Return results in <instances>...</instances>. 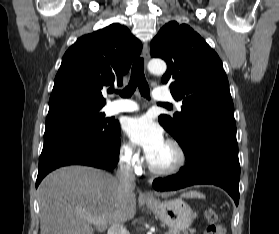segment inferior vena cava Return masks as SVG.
Masks as SVG:
<instances>
[{
  "instance_id": "602c4592",
  "label": "inferior vena cava",
  "mask_w": 279,
  "mask_h": 234,
  "mask_svg": "<svg viewBox=\"0 0 279 234\" xmlns=\"http://www.w3.org/2000/svg\"><path fill=\"white\" fill-rule=\"evenodd\" d=\"M117 179L126 189L135 187V175L130 159L120 163L117 171ZM107 234H129V232L123 223L114 222L110 225Z\"/></svg>"
}]
</instances>
